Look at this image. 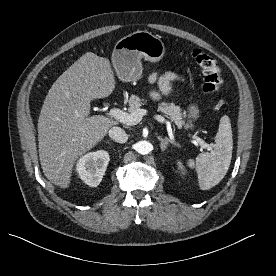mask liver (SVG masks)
Masks as SVG:
<instances>
[{"label": "liver", "mask_w": 276, "mask_h": 276, "mask_svg": "<svg viewBox=\"0 0 276 276\" xmlns=\"http://www.w3.org/2000/svg\"><path fill=\"white\" fill-rule=\"evenodd\" d=\"M115 84L109 60L87 52L51 86L38 119V148L43 173L53 184L67 188L78 158L117 125L102 115L88 117L91 101L111 95Z\"/></svg>", "instance_id": "liver-1"}]
</instances>
